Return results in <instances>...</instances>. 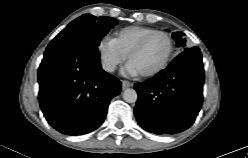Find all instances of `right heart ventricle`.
<instances>
[{
	"mask_svg": "<svg viewBox=\"0 0 248 158\" xmlns=\"http://www.w3.org/2000/svg\"><path fill=\"white\" fill-rule=\"evenodd\" d=\"M155 29L145 26L133 25L121 28L113 33V41L127 56L130 50L148 33Z\"/></svg>",
	"mask_w": 248,
	"mask_h": 158,
	"instance_id": "e07e8e85",
	"label": "right heart ventricle"
}]
</instances>
